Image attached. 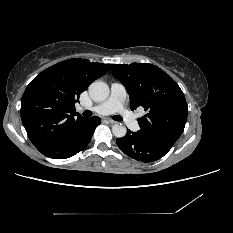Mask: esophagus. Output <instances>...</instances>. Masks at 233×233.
<instances>
[{
  "label": "esophagus",
  "instance_id": "34e87169",
  "mask_svg": "<svg viewBox=\"0 0 233 233\" xmlns=\"http://www.w3.org/2000/svg\"><path fill=\"white\" fill-rule=\"evenodd\" d=\"M105 120L108 121V122L111 123V124H115V123H116L114 120L109 119V118H107V119H105Z\"/></svg>",
  "mask_w": 233,
  "mask_h": 233
}]
</instances>
